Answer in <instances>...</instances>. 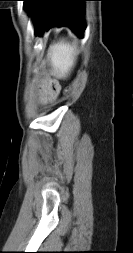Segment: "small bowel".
<instances>
[{
  "mask_svg": "<svg viewBox=\"0 0 133 253\" xmlns=\"http://www.w3.org/2000/svg\"><path fill=\"white\" fill-rule=\"evenodd\" d=\"M60 91V86L56 82H48L42 86L40 100L43 103L53 101Z\"/></svg>",
  "mask_w": 133,
  "mask_h": 253,
  "instance_id": "c3829d8e",
  "label": "small bowel"
}]
</instances>
